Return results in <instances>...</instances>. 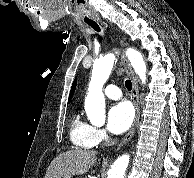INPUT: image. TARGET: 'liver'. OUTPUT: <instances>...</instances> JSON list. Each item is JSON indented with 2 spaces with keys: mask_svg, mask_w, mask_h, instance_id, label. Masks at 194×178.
<instances>
[{
  "mask_svg": "<svg viewBox=\"0 0 194 178\" xmlns=\"http://www.w3.org/2000/svg\"><path fill=\"white\" fill-rule=\"evenodd\" d=\"M96 152L74 149L61 153L50 164L45 178H71L86 173L96 161Z\"/></svg>",
  "mask_w": 194,
  "mask_h": 178,
  "instance_id": "obj_1",
  "label": "liver"
}]
</instances>
